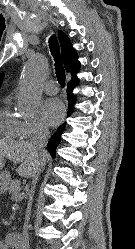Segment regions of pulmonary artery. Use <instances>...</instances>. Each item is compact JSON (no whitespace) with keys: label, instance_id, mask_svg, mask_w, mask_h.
Masks as SVG:
<instances>
[{"label":"pulmonary artery","instance_id":"obj_1","mask_svg":"<svg viewBox=\"0 0 135 249\" xmlns=\"http://www.w3.org/2000/svg\"><path fill=\"white\" fill-rule=\"evenodd\" d=\"M43 89L47 94L50 95L56 94L59 91L57 83L53 80L46 82L43 86Z\"/></svg>","mask_w":135,"mask_h":249}]
</instances>
